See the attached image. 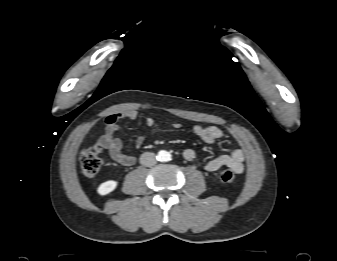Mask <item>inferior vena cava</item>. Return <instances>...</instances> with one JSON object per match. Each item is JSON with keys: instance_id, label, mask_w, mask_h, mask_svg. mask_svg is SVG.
<instances>
[{"instance_id": "602c4592", "label": "inferior vena cava", "mask_w": 337, "mask_h": 261, "mask_svg": "<svg viewBox=\"0 0 337 261\" xmlns=\"http://www.w3.org/2000/svg\"><path fill=\"white\" fill-rule=\"evenodd\" d=\"M140 163L143 166L150 167L156 164V156L152 152H145L140 156Z\"/></svg>"}]
</instances>
